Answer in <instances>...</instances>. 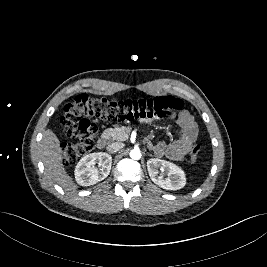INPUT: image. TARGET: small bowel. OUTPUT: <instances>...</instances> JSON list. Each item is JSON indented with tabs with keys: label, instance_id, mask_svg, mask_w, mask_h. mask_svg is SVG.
Segmentation results:
<instances>
[{
	"label": "small bowel",
	"instance_id": "obj_1",
	"mask_svg": "<svg viewBox=\"0 0 267 267\" xmlns=\"http://www.w3.org/2000/svg\"><path fill=\"white\" fill-rule=\"evenodd\" d=\"M174 120L179 127L175 141L170 143L164 141L154 143L150 138H147L145 142L157 156H166L173 160H179L190 151L196 141L198 126L188 111L174 116Z\"/></svg>",
	"mask_w": 267,
	"mask_h": 267
}]
</instances>
